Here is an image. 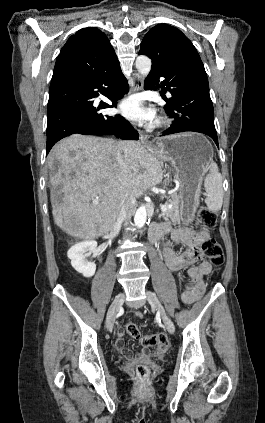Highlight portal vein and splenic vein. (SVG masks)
<instances>
[{
	"mask_svg": "<svg viewBox=\"0 0 265 423\" xmlns=\"http://www.w3.org/2000/svg\"><path fill=\"white\" fill-rule=\"evenodd\" d=\"M92 203H93L94 205H98V204H99V201H98V199H94V200L92 201ZM167 209H168V206H166L165 204H162V205H161V211H162L163 213H165V212L167 211Z\"/></svg>",
	"mask_w": 265,
	"mask_h": 423,
	"instance_id": "1",
	"label": "portal vein and splenic vein"
}]
</instances>
